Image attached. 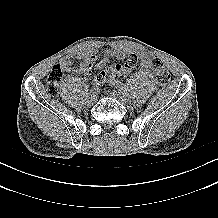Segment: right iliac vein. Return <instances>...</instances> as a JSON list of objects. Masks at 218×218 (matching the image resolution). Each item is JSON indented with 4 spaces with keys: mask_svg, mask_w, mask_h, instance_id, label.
Masks as SVG:
<instances>
[{
    "mask_svg": "<svg viewBox=\"0 0 218 218\" xmlns=\"http://www.w3.org/2000/svg\"><path fill=\"white\" fill-rule=\"evenodd\" d=\"M98 96L96 94H91L88 98V104L92 105L97 101Z\"/></svg>",
    "mask_w": 218,
    "mask_h": 218,
    "instance_id": "1",
    "label": "right iliac vein"
}]
</instances>
